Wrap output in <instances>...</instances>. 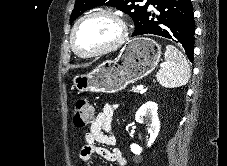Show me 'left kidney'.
Listing matches in <instances>:
<instances>
[{"mask_svg":"<svg viewBox=\"0 0 227 166\" xmlns=\"http://www.w3.org/2000/svg\"><path fill=\"white\" fill-rule=\"evenodd\" d=\"M158 105L153 101H148L143 104L135 115V120L142 124H147L149 126L150 138L147 146L151 147L157 138L160 131V121L158 118ZM132 153L139 155L142 152V148L137 144H131L130 146Z\"/></svg>","mask_w":227,"mask_h":166,"instance_id":"left-kidney-1","label":"left kidney"}]
</instances>
